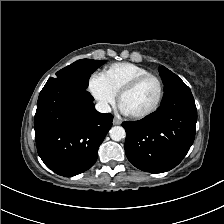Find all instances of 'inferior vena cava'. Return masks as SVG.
<instances>
[{
  "mask_svg": "<svg viewBox=\"0 0 224 224\" xmlns=\"http://www.w3.org/2000/svg\"><path fill=\"white\" fill-rule=\"evenodd\" d=\"M95 108L100 113H109L111 108L107 102L99 101L96 103Z\"/></svg>",
  "mask_w": 224,
  "mask_h": 224,
  "instance_id": "1",
  "label": "inferior vena cava"
}]
</instances>
